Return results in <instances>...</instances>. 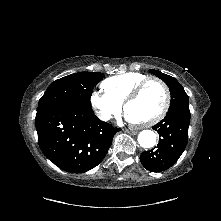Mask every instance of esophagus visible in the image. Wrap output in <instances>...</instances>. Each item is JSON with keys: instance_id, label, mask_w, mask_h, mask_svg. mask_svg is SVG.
<instances>
[{"instance_id": "esophagus-1", "label": "esophagus", "mask_w": 221, "mask_h": 221, "mask_svg": "<svg viewBox=\"0 0 221 221\" xmlns=\"http://www.w3.org/2000/svg\"><path fill=\"white\" fill-rule=\"evenodd\" d=\"M125 132H127V133H129V134H131V135L137 134V131H135V130H128V129H126Z\"/></svg>"}]
</instances>
